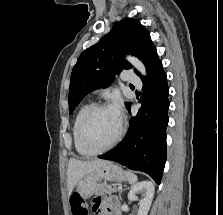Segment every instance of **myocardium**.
I'll list each match as a JSON object with an SVG mask.
<instances>
[{
  "label": "myocardium",
  "mask_w": 223,
  "mask_h": 215,
  "mask_svg": "<svg viewBox=\"0 0 223 215\" xmlns=\"http://www.w3.org/2000/svg\"><path fill=\"white\" fill-rule=\"evenodd\" d=\"M103 109H110V108H109V106H107L106 104H103V103H98V104L92 105V107L88 110V112L84 116V118L81 122L80 128H79L80 143L91 155H99L105 151L115 148L116 145L120 142V140L123 136V133H124V127L120 120L119 131H118L116 137L113 139V141L109 145H107L106 147L101 148V149H94L88 144V141H87L88 126H89L92 118L94 117V115L98 111L103 110Z\"/></svg>",
  "instance_id": "f54148a6"
}]
</instances>
